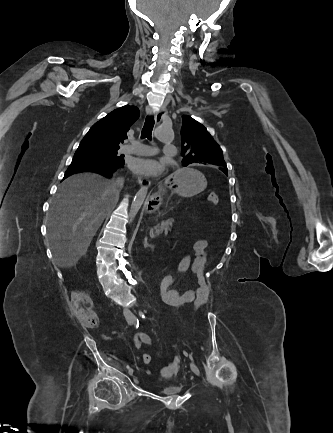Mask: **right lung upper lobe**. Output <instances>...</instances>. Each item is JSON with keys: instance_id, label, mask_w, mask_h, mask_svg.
Masks as SVG:
<instances>
[{"instance_id": "right-lung-upper-lobe-1", "label": "right lung upper lobe", "mask_w": 333, "mask_h": 433, "mask_svg": "<svg viewBox=\"0 0 333 433\" xmlns=\"http://www.w3.org/2000/svg\"><path fill=\"white\" fill-rule=\"evenodd\" d=\"M136 106H123L113 110L95 123L82 141L103 149H119V144L127 138L131 125L139 118Z\"/></svg>"}]
</instances>
